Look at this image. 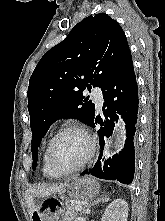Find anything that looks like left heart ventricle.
<instances>
[{"label":"left heart ventricle","instance_id":"1","mask_svg":"<svg viewBox=\"0 0 165 221\" xmlns=\"http://www.w3.org/2000/svg\"><path fill=\"white\" fill-rule=\"evenodd\" d=\"M89 143L86 137L76 131L61 135L53 145L52 159L60 169L76 166L86 156Z\"/></svg>","mask_w":165,"mask_h":221}]
</instances>
